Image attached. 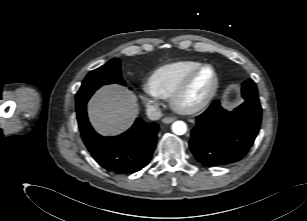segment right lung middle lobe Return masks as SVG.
<instances>
[{
	"instance_id": "right-lung-middle-lobe-1",
	"label": "right lung middle lobe",
	"mask_w": 307,
	"mask_h": 221,
	"mask_svg": "<svg viewBox=\"0 0 307 221\" xmlns=\"http://www.w3.org/2000/svg\"><path fill=\"white\" fill-rule=\"evenodd\" d=\"M117 83L124 85L121 77L120 60L111 59L105 65L91 71L84 79L82 86L76 94V108L84 107L92 94L102 85Z\"/></svg>"
}]
</instances>
